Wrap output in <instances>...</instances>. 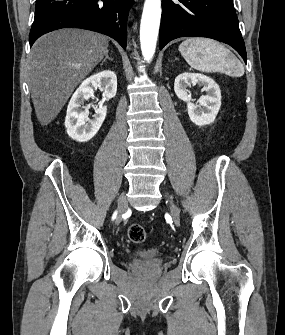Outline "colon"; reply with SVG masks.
<instances>
[{"instance_id": "colon-1", "label": "colon", "mask_w": 285, "mask_h": 335, "mask_svg": "<svg viewBox=\"0 0 285 335\" xmlns=\"http://www.w3.org/2000/svg\"><path fill=\"white\" fill-rule=\"evenodd\" d=\"M127 234H128L129 240L135 244H141L147 238L146 230L140 224H131L128 227Z\"/></svg>"}]
</instances>
